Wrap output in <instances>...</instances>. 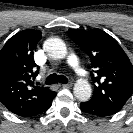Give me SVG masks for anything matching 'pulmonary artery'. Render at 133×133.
Returning a JSON list of instances; mask_svg holds the SVG:
<instances>
[{
	"mask_svg": "<svg viewBox=\"0 0 133 133\" xmlns=\"http://www.w3.org/2000/svg\"><path fill=\"white\" fill-rule=\"evenodd\" d=\"M68 65L81 77L85 76V71L81 68L78 57L75 54H70L67 58Z\"/></svg>",
	"mask_w": 133,
	"mask_h": 133,
	"instance_id": "pulmonary-artery-1",
	"label": "pulmonary artery"
}]
</instances>
